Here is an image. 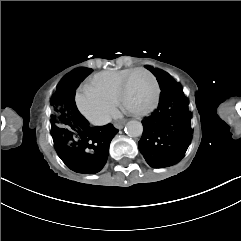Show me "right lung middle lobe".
I'll return each mask as SVG.
<instances>
[{
    "label": "right lung middle lobe",
    "instance_id": "right-lung-middle-lobe-1",
    "mask_svg": "<svg viewBox=\"0 0 241 241\" xmlns=\"http://www.w3.org/2000/svg\"><path fill=\"white\" fill-rule=\"evenodd\" d=\"M91 72L92 69H89ZM66 80H62L58 85L55 94L51 99V134L52 137H70L73 135L74 127L72 125L70 114L65 104V98L70 96L66 87Z\"/></svg>",
    "mask_w": 241,
    "mask_h": 241
}]
</instances>
